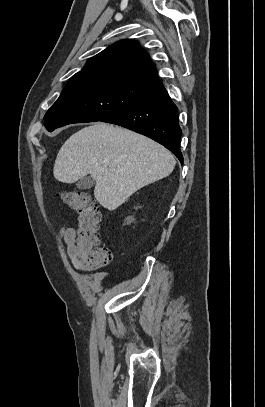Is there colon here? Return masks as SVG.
I'll use <instances>...</instances> for the list:
<instances>
[{"instance_id": "5ec220e1", "label": "colon", "mask_w": 265, "mask_h": 407, "mask_svg": "<svg viewBox=\"0 0 265 407\" xmlns=\"http://www.w3.org/2000/svg\"><path fill=\"white\" fill-rule=\"evenodd\" d=\"M59 196L78 214L75 237L78 263L89 270L109 266L113 260V253L109 247L101 245L99 236L101 213L95 200L81 190H64Z\"/></svg>"}]
</instances>
